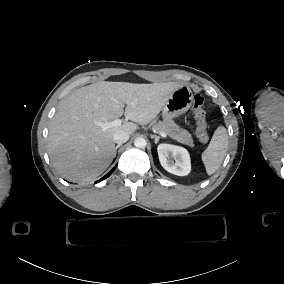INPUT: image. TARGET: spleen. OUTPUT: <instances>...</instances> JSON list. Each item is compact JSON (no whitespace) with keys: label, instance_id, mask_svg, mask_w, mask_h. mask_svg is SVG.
I'll list each match as a JSON object with an SVG mask.
<instances>
[{"label":"spleen","instance_id":"3e777b00","mask_svg":"<svg viewBox=\"0 0 284 284\" xmlns=\"http://www.w3.org/2000/svg\"><path fill=\"white\" fill-rule=\"evenodd\" d=\"M228 149V134L224 125L219 123L213 133L208 148L201 153V161L208 176L213 175L222 164Z\"/></svg>","mask_w":284,"mask_h":284}]
</instances>
